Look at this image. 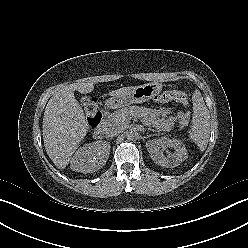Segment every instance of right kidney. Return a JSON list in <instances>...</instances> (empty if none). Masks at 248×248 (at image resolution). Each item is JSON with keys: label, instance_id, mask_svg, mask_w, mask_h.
Masks as SVG:
<instances>
[{"label": "right kidney", "instance_id": "right-kidney-1", "mask_svg": "<svg viewBox=\"0 0 248 248\" xmlns=\"http://www.w3.org/2000/svg\"><path fill=\"white\" fill-rule=\"evenodd\" d=\"M110 144L95 141L79 148L71 158V169L81 173H93L101 169L110 154Z\"/></svg>", "mask_w": 248, "mask_h": 248}]
</instances>
